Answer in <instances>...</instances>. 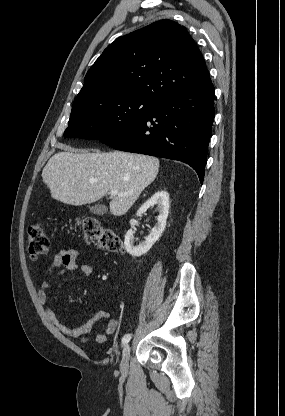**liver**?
Listing matches in <instances>:
<instances>
[{
  "instance_id": "1",
  "label": "liver",
  "mask_w": 285,
  "mask_h": 416,
  "mask_svg": "<svg viewBox=\"0 0 285 416\" xmlns=\"http://www.w3.org/2000/svg\"><path fill=\"white\" fill-rule=\"evenodd\" d=\"M58 152L47 162L42 180L47 184L52 198L83 206L101 200L110 190L118 194L110 202L113 216H124L141 192L154 182L159 172V160L142 154L108 152L87 154V150H73L65 144H57Z\"/></svg>"
}]
</instances>
